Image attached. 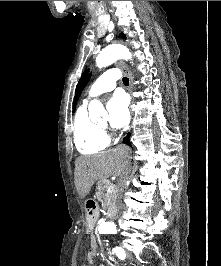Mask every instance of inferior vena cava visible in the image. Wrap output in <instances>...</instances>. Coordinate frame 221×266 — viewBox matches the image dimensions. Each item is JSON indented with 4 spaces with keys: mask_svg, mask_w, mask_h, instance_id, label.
Masks as SVG:
<instances>
[{
    "mask_svg": "<svg viewBox=\"0 0 221 266\" xmlns=\"http://www.w3.org/2000/svg\"><path fill=\"white\" fill-rule=\"evenodd\" d=\"M129 173H130V163L128 162V163H126L125 172L119 180L120 191H118V192H123V190L126 188Z\"/></svg>",
    "mask_w": 221,
    "mask_h": 266,
    "instance_id": "1",
    "label": "inferior vena cava"
}]
</instances>
